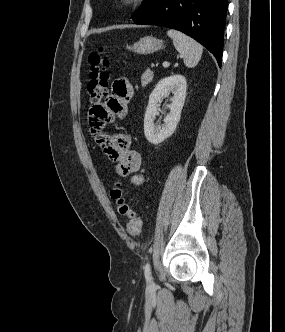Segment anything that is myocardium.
Wrapping results in <instances>:
<instances>
[{
  "label": "myocardium",
  "mask_w": 285,
  "mask_h": 332,
  "mask_svg": "<svg viewBox=\"0 0 285 332\" xmlns=\"http://www.w3.org/2000/svg\"><path fill=\"white\" fill-rule=\"evenodd\" d=\"M147 0H116L119 7L127 10L137 9L146 5Z\"/></svg>",
  "instance_id": "myocardium-1"
}]
</instances>
